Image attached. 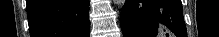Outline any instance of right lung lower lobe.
Masks as SVG:
<instances>
[{
  "label": "right lung lower lobe",
  "mask_w": 219,
  "mask_h": 37,
  "mask_svg": "<svg viewBox=\"0 0 219 37\" xmlns=\"http://www.w3.org/2000/svg\"><path fill=\"white\" fill-rule=\"evenodd\" d=\"M89 0H27L30 37H89Z\"/></svg>",
  "instance_id": "98d812e1"
}]
</instances>
